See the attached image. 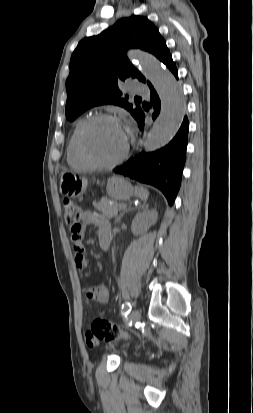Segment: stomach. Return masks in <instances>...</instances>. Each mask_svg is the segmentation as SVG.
I'll return each mask as SVG.
<instances>
[{
  "label": "stomach",
  "mask_w": 253,
  "mask_h": 413,
  "mask_svg": "<svg viewBox=\"0 0 253 413\" xmlns=\"http://www.w3.org/2000/svg\"><path fill=\"white\" fill-rule=\"evenodd\" d=\"M87 188V180L77 174L64 172L60 179V193L64 196L76 198L81 196ZM107 193L114 200H128L134 194V188L123 177L114 176L107 182Z\"/></svg>",
  "instance_id": "obj_1"
}]
</instances>
